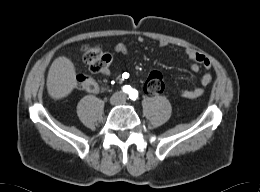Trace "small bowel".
I'll return each mask as SVG.
<instances>
[{"instance_id":"small-bowel-1","label":"small bowel","mask_w":260,"mask_h":192,"mask_svg":"<svg viewBox=\"0 0 260 192\" xmlns=\"http://www.w3.org/2000/svg\"><path fill=\"white\" fill-rule=\"evenodd\" d=\"M139 41L141 42V41H143V39L140 38ZM161 46H167V43L161 42ZM114 51L119 54L127 55L129 52V49L125 43L119 42L114 46ZM185 56L190 61V63H191L190 68L193 72L197 73L202 68L207 70V73H205L202 76L198 86H196L195 88H192V89L182 90L180 92V96L183 98L196 99L204 94L206 88L210 85V83L213 80V75L211 72L212 64L207 57H205L203 54H201L195 50H192V49L186 50ZM102 73L104 75H109L110 71H109V69H105L102 71ZM122 78H124V77H122Z\"/></svg>"}]
</instances>
